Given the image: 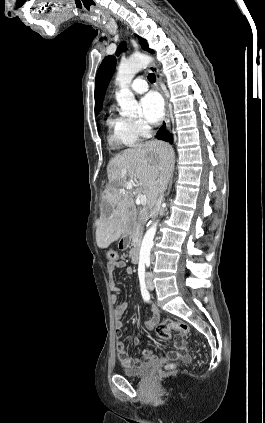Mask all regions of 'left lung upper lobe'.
<instances>
[{
    "instance_id": "1",
    "label": "left lung upper lobe",
    "mask_w": 265,
    "mask_h": 423,
    "mask_svg": "<svg viewBox=\"0 0 265 423\" xmlns=\"http://www.w3.org/2000/svg\"><path fill=\"white\" fill-rule=\"evenodd\" d=\"M137 37L142 43L141 44L142 48L152 53L153 50L149 49L147 42L144 39L140 38L139 36ZM124 50H126V43L122 42L117 49L116 55H119L120 52ZM115 65H116V58L114 56H107L106 58H104V60L102 61L98 69L96 80H95V92H96L95 100H96L97 106H99L100 109L103 104V99L105 96V92H106L109 80L112 77V74L114 72Z\"/></svg>"
}]
</instances>
